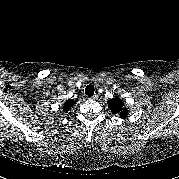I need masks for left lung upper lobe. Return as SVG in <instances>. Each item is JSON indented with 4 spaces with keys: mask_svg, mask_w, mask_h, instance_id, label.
Wrapping results in <instances>:
<instances>
[{
    "mask_svg": "<svg viewBox=\"0 0 179 179\" xmlns=\"http://www.w3.org/2000/svg\"><path fill=\"white\" fill-rule=\"evenodd\" d=\"M108 106L113 113L119 114L122 119L127 117V108L124 107V103L120 98L114 97L113 99H110L108 101Z\"/></svg>",
    "mask_w": 179,
    "mask_h": 179,
    "instance_id": "5c2ea615",
    "label": "left lung upper lobe"
}]
</instances>
